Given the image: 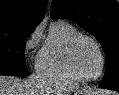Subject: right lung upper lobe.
I'll return each instance as SVG.
<instances>
[{"mask_svg":"<svg viewBox=\"0 0 119 95\" xmlns=\"http://www.w3.org/2000/svg\"><path fill=\"white\" fill-rule=\"evenodd\" d=\"M48 0H0V31L12 26L36 27Z\"/></svg>","mask_w":119,"mask_h":95,"instance_id":"cb5924a9","label":"right lung upper lobe"}]
</instances>
